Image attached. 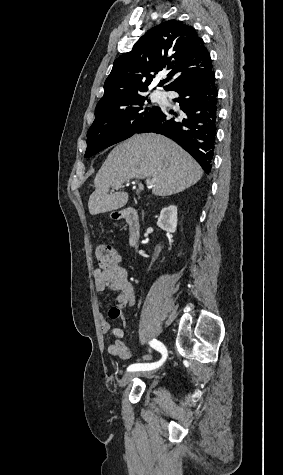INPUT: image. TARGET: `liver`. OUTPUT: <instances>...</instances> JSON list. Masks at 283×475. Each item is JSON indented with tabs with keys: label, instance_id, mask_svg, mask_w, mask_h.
I'll return each mask as SVG.
<instances>
[{
	"label": "liver",
	"instance_id": "1",
	"mask_svg": "<svg viewBox=\"0 0 283 475\" xmlns=\"http://www.w3.org/2000/svg\"><path fill=\"white\" fill-rule=\"evenodd\" d=\"M202 174L196 160L173 140L160 134H135L113 148L96 174L89 212L96 216L126 206V192H108L131 178H149L154 196H172L196 184Z\"/></svg>",
	"mask_w": 283,
	"mask_h": 475
}]
</instances>
